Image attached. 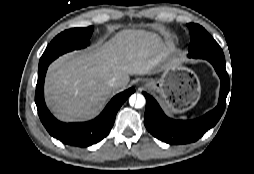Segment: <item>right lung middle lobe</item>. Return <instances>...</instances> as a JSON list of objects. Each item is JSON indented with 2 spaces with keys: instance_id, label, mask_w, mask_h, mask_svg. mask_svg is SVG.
<instances>
[{
  "instance_id": "obj_1",
  "label": "right lung middle lobe",
  "mask_w": 254,
  "mask_h": 174,
  "mask_svg": "<svg viewBox=\"0 0 254 174\" xmlns=\"http://www.w3.org/2000/svg\"><path fill=\"white\" fill-rule=\"evenodd\" d=\"M93 29V26L74 28L65 30L57 35L47 46L40 58L38 70L49 65L53 60L66 52L88 46Z\"/></svg>"
}]
</instances>
